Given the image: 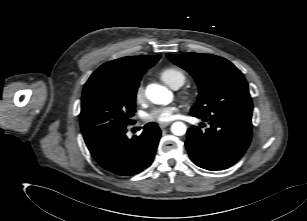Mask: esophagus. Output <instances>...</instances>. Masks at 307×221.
I'll return each mask as SVG.
<instances>
[{
	"label": "esophagus",
	"instance_id": "esophagus-1",
	"mask_svg": "<svg viewBox=\"0 0 307 221\" xmlns=\"http://www.w3.org/2000/svg\"><path fill=\"white\" fill-rule=\"evenodd\" d=\"M171 124V122H166V123H160L159 124V127L161 128V129H164V128H166L168 125H170Z\"/></svg>",
	"mask_w": 307,
	"mask_h": 221
}]
</instances>
